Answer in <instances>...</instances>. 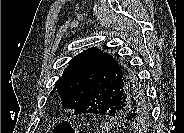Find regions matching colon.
Returning <instances> with one entry per match:
<instances>
[{
    "label": "colon",
    "instance_id": "colon-1",
    "mask_svg": "<svg viewBox=\"0 0 184 133\" xmlns=\"http://www.w3.org/2000/svg\"><path fill=\"white\" fill-rule=\"evenodd\" d=\"M78 131L68 122H61L56 125L54 133H77Z\"/></svg>",
    "mask_w": 184,
    "mask_h": 133
}]
</instances>
